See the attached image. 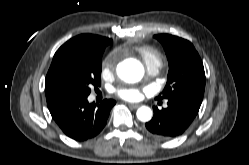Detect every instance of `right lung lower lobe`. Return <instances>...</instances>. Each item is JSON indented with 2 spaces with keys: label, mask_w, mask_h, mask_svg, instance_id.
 <instances>
[{
  "label": "right lung lower lobe",
  "mask_w": 249,
  "mask_h": 165,
  "mask_svg": "<svg viewBox=\"0 0 249 165\" xmlns=\"http://www.w3.org/2000/svg\"><path fill=\"white\" fill-rule=\"evenodd\" d=\"M46 99L54 121L68 137L77 141L96 136L106 125L116 103L106 99L96 106L87 101V96L74 94H53Z\"/></svg>",
  "instance_id": "obj_1"
}]
</instances>
